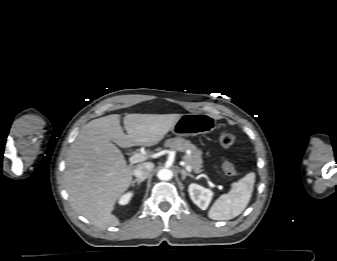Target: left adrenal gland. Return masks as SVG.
<instances>
[{
  "mask_svg": "<svg viewBox=\"0 0 337 261\" xmlns=\"http://www.w3.org/2000/svg\"><path fill=\"white\" fill-rule=\"evenodd\" d=\"M180 173L182 175V180H185V178L188 176V177H191V178H194V176L188 172H186L184 169H181L180 170Z\"/></svg>",
  "mask_w": 337,
  "mask_h": 261,
  "instance_id": "a2214340",
  "label": "left adrenal gland"
}]
</instances>
